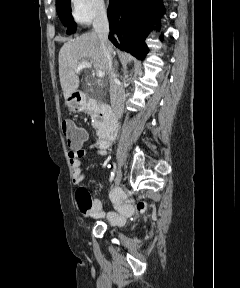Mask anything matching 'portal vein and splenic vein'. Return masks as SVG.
<instances>
[{
    "label": "portal vein and splenic vein",
    "instance_id": "obj_1",
    "mask_svg": "<svg viewBox=\"0 0 240 288\" xmlns=\"http://www.w3.org/2000/svg\"><path fill=\"white\" fill-rule=\"evenodd\" d=\"M84 68H92V64L88 61H82L79 63V65L75 68V72L79 73L81 70H83ZM97 76L99 78H103L105 76V72L103 71H98L97 72Z\"/></svg>",
    "mask_w": 240,
    "mask_h": 288
}]
</instances>
